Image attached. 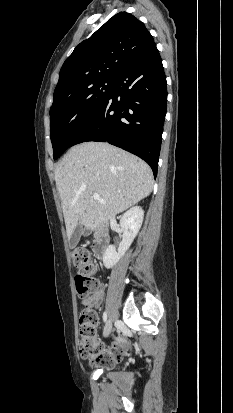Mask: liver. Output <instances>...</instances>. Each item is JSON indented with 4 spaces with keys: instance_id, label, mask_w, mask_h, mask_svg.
Returning a JSON list of instances; mask_svg holds the SVG:
<instances>
[{
    "instance_id": "liver-1",
    "label": "liver",
    "mask_w": 233,
    "mask_h": 413,
    "mask_svg": "<svg viewBox=\"0 0 233 413\" xmlns=\"http://www.w3.org/2000/svg\"><path fill=\"white\" fill-rule=\"evenodd\" d=\"M68 239L78 225L103 226L147 197L153 189L149 165L137 156L104 142L72 147L55 169ZM99 194L105 201L93 198Z\"/></svg>"
}]
</instances>
